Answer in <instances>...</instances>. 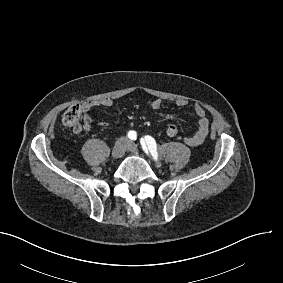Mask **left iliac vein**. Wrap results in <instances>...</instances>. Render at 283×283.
<instances>
[{"instance_id": "1", "label": "left iliac vein", "mask_w": 283, "mask_h": 283, "mask_svg": "<svg viewBox=\"0 0 283 283\" xmlns=\"http://www.w3.org/2000/svg\"><path fill=\"white\" fill-rule=\"evenodd\" d=\"M127 151H129V152H131V153H136V152L138 151V147H137L136 144H134V143L131 142V143L128 145Z\"/></svg>"}]
</instances>
